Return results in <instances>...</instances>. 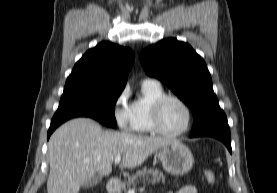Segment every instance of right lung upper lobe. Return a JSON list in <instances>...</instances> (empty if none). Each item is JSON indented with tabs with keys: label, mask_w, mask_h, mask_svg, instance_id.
<instances>
[{
	"label": "right lung upper lobe",
	"mask_w": 277,
	"mask_h": 193,
	"mask_svg": "<svg viewBox=\"0 0 277 193\" xmlns=\"http://www.w3.org/2000/svg\"><path fill=\"white\" fill-rule=\"evenodd\" d=\"M133 62L130 49L102 42L88 50L75 64L64 89L84 87L122 91Z\"/></svg>",
	"instance_id": "right-lung-upper-lobe-1"
}]
</instances>
